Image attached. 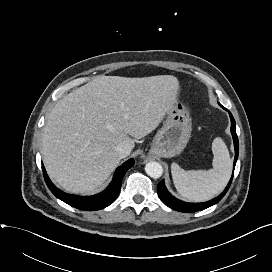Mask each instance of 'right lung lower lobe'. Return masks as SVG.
Returning a JSON list of instances; mask_svg holds the SVG:
<instances>
[{
    "label": "right lung lower lobe",
    "instance_id": "obj_1",
    "mask_svg": "<svg viewBox=\"0 0 272 272\" xmlns=\"http://www.w3.org/2000/svg\"><path fill=\"white\" fill-rule=\"evenodd\" d=\"M133 165L134 159H129L123 163L120 167L117 168L116 172L114 173L113 180L107 189L99 194L89 197L75 196L62 192L50 181L43 164L42 170L48 188L57 198L77 209L94 211L103 209L115 201L121 189L122 179L127 170Z\"/></svg>",
    "mask_w": 272,
    "mask_h": 272
}]
</instances>
